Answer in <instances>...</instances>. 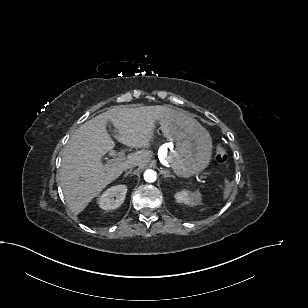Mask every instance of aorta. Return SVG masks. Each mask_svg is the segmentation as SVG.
<instances>
[{
    "instance_id": "obj_1",
    "label": "aorta",
    "mask_w": 308,
    "mask_h": 308,
    "mask_svg": "<svg viewBox=\"0 0 308 308\" xmlns=\"http://www.w3.org/2000/svg\"><path fill=\"white\" fill-rule=\"evenodd\" d=\"M156 178L157 177H156L155 171H153L151 169L145 171L144 179H145L146 182H149V183L155 182Z\"/></svg>"
}]
</instances>
